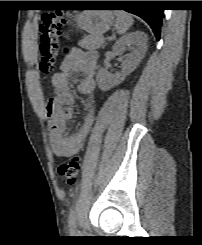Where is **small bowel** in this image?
<instances>
[{
  "label": "small bowel",
  "mask_w": 202,
  "mask_h": 245,
  "mask_svg": "<svg viewBox=\"0 0 202 245\" xmlns=\"http://www.w3.org/2000/svg\"><path fill=\"white\" fill-rule=\"evenodd\" d=\"M75 74H82L78 91L88 98L83 122L74 134H68V123L75 117L71 107L74 95L69 81ZM96 57L72 48L63 60L60 71L52 76L56 96L46 103V116L50 122V145L55 155L69 157L78 153L88 136L94 121L96 108Z\"/></svg>",
  "instance_id": "c3829d8e"
}]
</instances>
